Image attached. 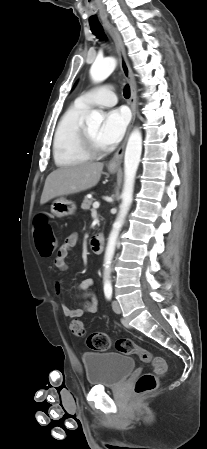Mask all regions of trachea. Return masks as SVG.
<instances>
[{"label":"trachea","instance_id":"1","mask_svg":"<svg viewBox=\"0 0 207 449\" xmlns=\"http://www.w3.org/2000/svg\"><path fill=\"white\" fill-rule=\"evenodd\" d=\"M91 31L99 38H105L102 26H92ZM123 94L125 98L130 97V87L126 85L123 90Z\"/></svg>","mask_w":207,"mask_h":449}]
</instances>
